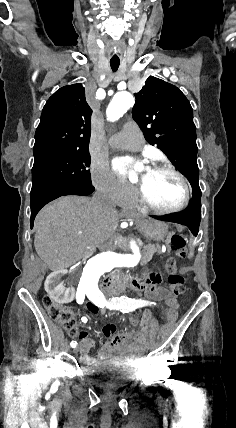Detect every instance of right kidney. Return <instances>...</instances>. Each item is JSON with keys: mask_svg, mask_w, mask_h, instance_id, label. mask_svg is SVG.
Listing matches in <instances>:
<instances>
[{"mask_svg": "<svg viewBox=\"0 0 236 428\" xmlns=\"http://www.w3.org/2000/svg\"><path fill=\"white\" fill-rule=\"evenodd\" d=\"M45 278V285L48 292L51 293V300L55 306H66L71 302V293L76 291L75 283H63L70 276L69 269H50Z\"/></svg>", "mask_w": 236, "mask_h": 428, "instance_id": "right-kidney-1", "label": "right kidney"}]
</instances>
